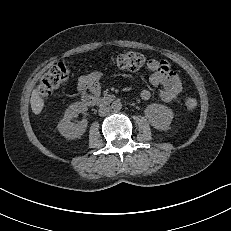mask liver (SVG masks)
<instances>
[{
  "mask_svg": "<svg viewBox=\"0 0 231 231\" xmlns=\"http://www.w3.org/2000/svg\"><path fill=\"white\" fill-rule=\"evenodd\" d=\"M30 104L33 113L36 115H39L45 106L44 99L40 96L37 89L33 90L31 94Z\"/></svg>",
  "mask_w": 231,
  "mask_h": 231,
  "instance_id": "obj_1",
  "label": "liver"
}]
</instances>
